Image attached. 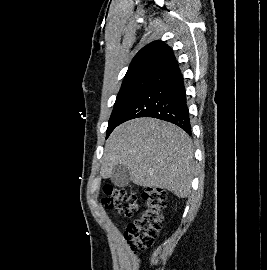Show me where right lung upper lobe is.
I'll list each match as a JSON object with an SVG mask.
<instances>
[{
	"mask_svg": "<svg viewBox=\"0 0 267 270\" xmlns=\"http://www.w3.org/2000/svg\"><path fill=\"white\" fill-rule=\"evenodd\" d=\"M174 60L173 51L167 44L162 41L151 42L132 59L123 82L143 75H156Z\"/></svg>",
	"mask_w": 267,
	"mask_h": 270,
	"instance_id": "cb5924a9",
	"label": "right lung upper lobe"
}]
</instances>
